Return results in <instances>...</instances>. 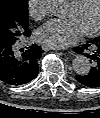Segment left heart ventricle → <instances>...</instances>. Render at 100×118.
<instances>
[{
  "label": "left heart ventricle",
  "instance_id": "b2bd125f",
  "mask_svg": "<svg viewBox=\"0 0 100 118\" xmlns=\"http://www.w3.org/2000/svg\"><path fill=\"white\" fill-rule=\"evenodd\" d=\"M66 17L74 19L83 32L92 29L99 17V0H85L80 7L71 4Z\"/></svg>",
  "mask_w": 100,
  "mask_h": 118
}]
</instances>
